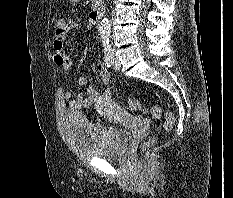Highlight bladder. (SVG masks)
Returning <instances> with one entry per match:
<instances>
[{"label":"bladder","mask_w":233,"mask_h":198,"mask_svg":"<svg viewBox=\"0 0 233 198\" xmlns=\"http://www.w3.org/2000/svg\"><path fill=\"white\" fill-rule=\"evenodd\" d=\"M66 129L72 147L88 156L120 157L132 139L128 130L93 123L82 113L74 111L66 116Z\"/></svg>","instance_id":"1"}]
</instances>
